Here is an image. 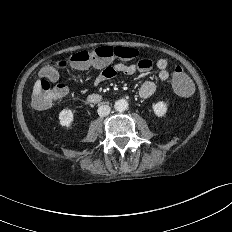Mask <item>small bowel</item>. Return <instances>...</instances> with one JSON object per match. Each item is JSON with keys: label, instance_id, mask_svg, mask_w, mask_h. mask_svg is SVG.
I'll return each mask as SVG.
<instances>
[{"label": "small bowel", "instance_id": "obj_1", "mask_svg": "<svg viewBox=\"0 0 232 232\" xmlns=\"http://www.w3.org/2000/svg\"><path fill=\"white\" fill-rule=\"evenodd\" d=\"M155 65L158 69V79L162 82L167 81L170 76L167 60L160 58L155 62ZM95 67L101 70L94 81V85L99 86L119 74L132 75L136 71L149 72L153 67V62L148 58H142L137 64H126L116 59L112 63L95 64ZM155 90L156 84L151 80H147L140 86L138 94L140 98L147 99L154 94Z\"/></svg>", "mask_w": 232, "mask_h": 232}]
</instances>
